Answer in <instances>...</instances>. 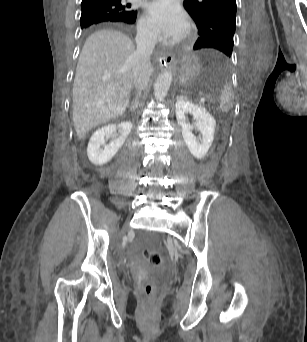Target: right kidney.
<instances>
[{"instance_id":"1","label":"right kidney","mask_w":307,"mask_h":342,"mask_svg":"<svg viewBox=\"0 0 307 342\" xmlns=\"http://www.w3.org/2000/svg\"><path fill=\"white\" fill-rule=\"evenodd\" d=\"M132 126L133 124H131V122H121L118 126H115V124H108V126H103V128L96 130V132L92 134L87 148V156L90 162H92L94 166H104V164H108V162L114 158L116 152L122 148L126 138H128L132 130ZM117 128L122 130L119 138H116L111 144H105V138H108L110 134L116 132Z\"/></svg>"}]
</instances>
